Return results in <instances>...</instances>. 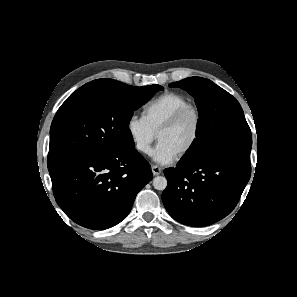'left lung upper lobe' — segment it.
<instances>
[{
    "mask_svg": "<svg viewBox=\"0 0 297 297\" xmlns=\"http://www.w3.org/2000/svg\"><path fill=\"white\" fill-rule=\"evenodd\" d=\"M191 94L199 112V131L182 158L223 157L250 165L251 130L239 102L209 79L190 77L170 84Z\"/></svg>",
    "mask_w": 297,
    "mask_h": 297,
    "instance_id": "1",
    "label": "left lung upper lobe"
}]
</instances>
